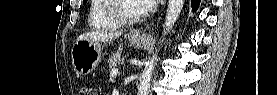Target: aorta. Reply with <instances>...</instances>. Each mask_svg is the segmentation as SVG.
<instances>
[{"label":"aorta","mask_w":277,"mask_h":95,"mask_svg":"<svg viewBox=\"0 0 277 95\" xmlns=\"http://www.w3.org/2000/svg\"><path fill=\"white\" fill-rule=\"evenodd\" d=\"M185 0H169L164 26H163V36L167 35L174 27L177 19L179 18V15L182 11V8L184 6ZM156 57L153 56L152 59H150L144 68V71L141 74L140 77V84L138 86V95H148L149 89H150V81L152 72L154 70Z\"/></svg>","instance_id":"1"}]
</instances>
